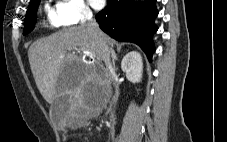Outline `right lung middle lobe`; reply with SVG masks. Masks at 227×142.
Wrapping results in <instances>:
<instances>
[{
  "mask_svg": "<svg viewBox=\"0 0 227 142\" xmlns=\"http://www.w3.org/2000/svg\"><path fill=\"white\" fill-rule=\"evenodd\" d=\"M39 3H40V0H36L29 4L28 11L25 17V22H24V30H23L24 35L31 32L35 26L36 13H37Z\"/></svg>",
  "mask_w": 227,
  "mask_h": 142,
  "instance_id": "dd1d6c3e",
  "label": "right lung middle lobe"
}]
</instances>
